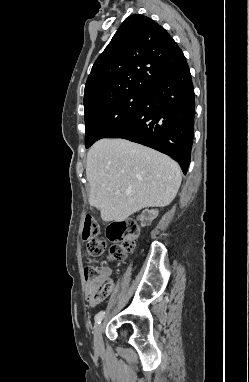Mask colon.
I'll use <instances>...</instances> for the list:
<instances>
[{"label":"colon","mask_w":249,"mask_h":382,"mask_svg":"<svg viewBox=\"0 0 249 382\" xmlns=\"http://www.w3.org/2000/svg\"><path fill=\"white\" fill-rule=\"evenodd\" d=\"M99 224L94 217L87 215L83 221L82 238L87 241L88 257L101 254L105 248V241L98 238ZM140 233V226L136 221H116L107 228V238L114 242L110 249L111 258L124 260L133 251ZM88 284L92 289L90 298L93 301L104 300L113 289V282L104 277L102 270L88 266L84 270Z\"/></svg>","instance_id":"obj_1"}]
</instances>
